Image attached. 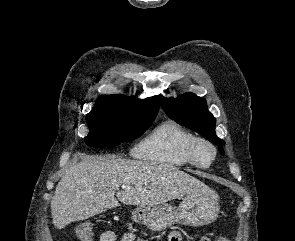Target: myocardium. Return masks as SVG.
<instances>
[{
	"label": "myocardium",
	"instance_id": "obj_1",
	"mask_svg": "<svg viewBox=\"0 0 295 241\" xmlns=\"http://www.w3.org/2000/svg\"><path fill=\"white\" fill-rule=\"evenodd\" d=\"M201 146H206L211 152V159L206 164L200 162L198 159V150ZM188 158L193 165L199 168H209L217 158L216 146L206 138L196 137L188 147Z\"/></svg>",
	"mask_w": 295,
	"mask_h": 241
}]
</instances>
